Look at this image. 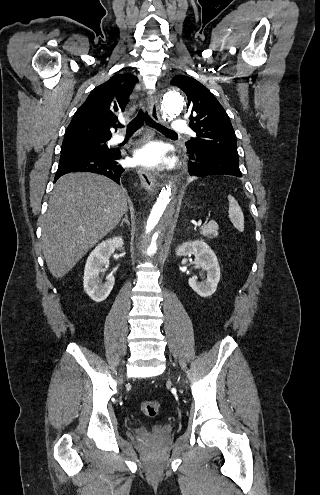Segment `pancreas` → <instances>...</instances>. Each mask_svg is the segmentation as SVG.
Listing matches in <instances>:
<instances>
[{"mask_svg":"<svg viewBox=\"0 0 320 495\" xmlns=\"http://www.w3.org/2000/svg\"><path fill=\"white\" fill-rule=\"evenodd\" d=\"M200 233L209 239H213L218 235V224L215 221H210L202 227Z\"/></svg>","mask_w":320,"mask_h":495,"instance_id":"1","label":"pancreas"}]
</instances>
